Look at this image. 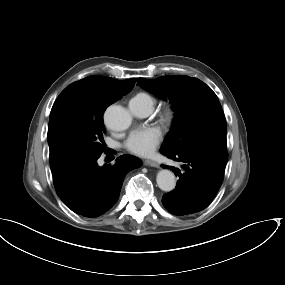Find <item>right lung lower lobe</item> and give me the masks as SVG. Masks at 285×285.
Here are the masks:
<instances>
[{
    "instance_id": "right-lung-lower-lobe-1",
    "label": "right lung lower lobe",
    "mask_w": 285,
    "mask_h": 285,
    "mask_svg": "<svg viewBox=\"0 0 285 285\" xmlns=\"http://www.w3.org/2000/svg\"><path fill=\"white\" fill-rule=\"evenodd\" d=\"M100 156L74 159L52 170L59 198L84 217H98L111 209L119 198L127 172L142 165L141 160L122 155L113 166L99 167L97 159Z\"/></svg>"
}]
</instances>
